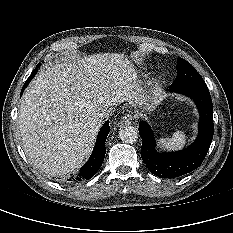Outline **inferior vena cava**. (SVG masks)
Segmentation results:
<instances>
[{"mask_svg":"<svg viewBox=\"0 0 233 233\" xmlns=\"http://www.w3.org/2000/svg\"><path fill=\"white\" fill-rule=\"evenodd\" d=\"M110 114H111L110 110H103L101 112H98L95 118L97 121L102 122L104 119L109 118Z\"/></svg>","mask_w":233,"mask_h":233,"instance_id":"1","label":"inferior vena cava"}]
</instances>
